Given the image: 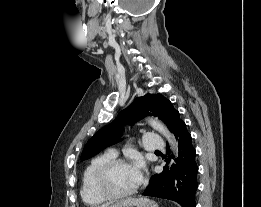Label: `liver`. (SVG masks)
<instances>
[{"label": "liver", "instance_id": "obj_1", "mask_svg": "<svg viewBox=\"0 0 261 207\" xmlns=\"http://www.w3.org/2000/svg\"><path fill=\"white\" fill-rule=\"evenodd\" d=\"M110 204H112V202H108V203H106V204H103V205H101V206H98V207H109V205Z\"/></svg>", "mask_w": 261, "mask_h": 207}]
</instances>
